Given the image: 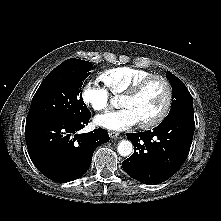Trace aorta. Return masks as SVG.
Returning a JSON list of instances; mask_svg holds the SVG:
<instances>
[{
  "instance_id": "1",
  "label": "aorta",
  "mask_w": 221,
  "mask_h": 221,
  "mask_svg": "<svg viewBox=\"0 0 221 221\" xmlns=\"http://www.w3.org/2000/svg\"><path fill=\"white\" fill-rule=\"evenodd\" d=\"M117 150L121 156H129L133 152V144L129 140H122L118 143Z\"/></svg>"
}]
</instances>
